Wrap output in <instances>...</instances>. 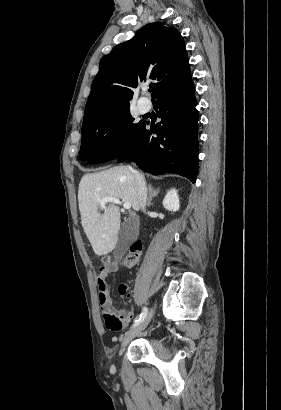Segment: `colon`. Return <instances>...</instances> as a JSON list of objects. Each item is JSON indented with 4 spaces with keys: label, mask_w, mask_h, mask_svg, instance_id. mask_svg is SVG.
I'll return each mask as SVG.
<instances>
[{
    "label": "colon",
    "mask_w": 281,
    "mask_h": 410,
    "mask_svg": "<svg viewBox=\"0 0 281 410\" xmlns=\"http://www.w3.org/2000/svg\"><path fill=\"white\" fill-rule=\"evenodd\" d=\"M143 252V246L140 242H137L132 245L130 252L125 256V258L122 261H113L112 257L107 255L104 256V261L107 263L113 262L114 264H122L127 267H134L138 264L140 257ZM127 287L124 286L123 290H126ZM104 319L106 326L111 329V330H120L122 328V319L121 317L117 316L116 314L110 312V311H105L104 312Z\"/></svg>",
    "instance_id": "5ec220e1"
}]
</instances>
